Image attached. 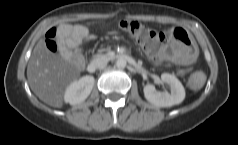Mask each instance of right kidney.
Wrapping results in <instances>:
<instances>
[{
	"mask_svg": "<svg viewBox=\"0 0 238 145\" xmlns=\"http://www.w3.org/2000/svg\"><path fill=\"white\" fill-rule=\"evenodd\" d=\"M95 79L93 76H84L79 80L73 81L67 88L64 94V100L70 105H77L84 102L90 95Z\"/></svg>",
	"mask_w": 238,
	"mask_h": 145,
	"instance_id": "1",
	"label": "right kidney"
}]
</instances>
